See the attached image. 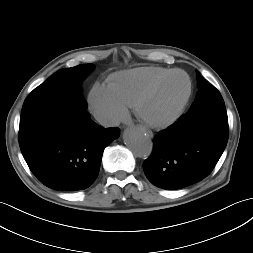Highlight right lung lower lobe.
<instances>
[{
  "label": "right lung lower lobe",
  "instance_id": "right-lung-lower-lobe-1",
  "mask_svg": "<svg viewBox=\"0 0 253 253\" xmlns=\"http://www.w3.org/2000/svg\"><path fill=\"white\" fill-rule=\"evenodd\" d=\"M54 104L22 113L19 145L32 173L54 190L88 188L99 174L104 149L120 135L91 120L86 105L66 101L63 115Z\"/></svg>",
  "mask_w": 253,
  "mask_h": 253
}]
</instances>
